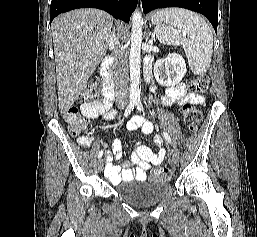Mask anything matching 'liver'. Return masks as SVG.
<instances>
[{
  "label": "liver",
  "instance_id": "6515ba94",
  "mask_svg": "<svg viewBox=\"0 0 257 237\" xmlns=\"http://www.w3.org/2000/svg\"><path fill=\"white\" fill-rule=\"evenodd\" d=\"M113 18L98 9H78L52 23L60 113L66 114L107 53Z\"/></svg>",
  "mask_w": 257,
  "mask_h": 237
}]
</instances>
